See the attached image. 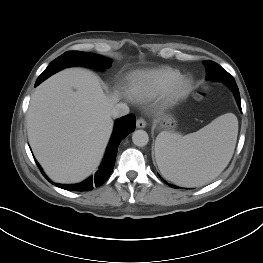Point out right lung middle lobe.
Returning a JSON list of instances; mask_svg holds the SVG:
<instances>
[{"label": "right lung middle lobe", "mask_w": 263, "mask_h": 263, "mask_svg": "<svg viewBox=\"0 0 263 263\" xmlns=\"http://www.w3.org/2000/svg\"><path fill=\"white\" fill-rule=\"evenodd\" d=\"M111 62V59L102 57L100 55L72 51L66 52L58 58H56L53 62L50 63V65L45 69V71L46 73H56L57 71L65 67L77 65L94 67L97 69H106L110 67Z\"/></svg>", "instance_id": "obj_1"}]
</instances>
